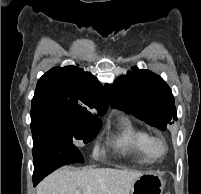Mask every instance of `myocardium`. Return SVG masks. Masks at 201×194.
I'll return each mask as SVG.
<instances>
[{"instance_id": "1", "label": "myocardium", "mask_w": 201, "mask_h": 194, "mask_svg": "<svg viewBox=\"0 0 201 194\" xmlns=\"http://www.w3.org/2000/svg\"><path fill=\"white\" fill-rule=\"evenodd\" d=\"M148 148L155 158H161L168 152V144L162 135H150Z\"/></svg>"}]
</instances>
